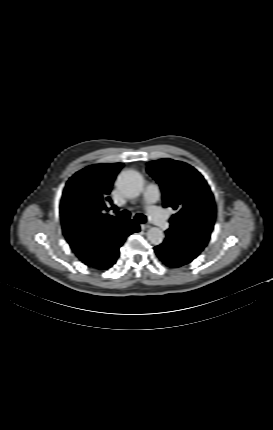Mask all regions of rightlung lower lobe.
<instances>
[{
    "instance_id": "98d812e1",
    "label": "right lung lower lobe",
    "mask_w": 273,
    "mask_h": 430,
    "mask_svg": "<svg viewBox=\"0 0 273 430\" xmlns=\"http://www.w3.org/2000/svg\"><path fill=\"white\" fill-rule=\"evenodd\" d=\"M139 231L138 224L131 220L124 227L118 228L115 231L101 233L91 245L88 259L83 262L88 266L101 270L110 268L119 257V248L124 243L126 237ZM68 243L73 249L72 243Z\"/></svg>"
}]
</instances>
